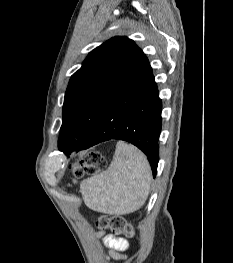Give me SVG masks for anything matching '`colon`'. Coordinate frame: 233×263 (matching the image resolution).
I'll return each instance as SVG.
<instances>
[{"instance_id":"obj_1","label":"colon","mask_w":233,"mask_h":263,"mask_svg":"<svg viewBox=\"0 0 233 263\" xmlns=\"http://www.w3.org/2000/svg\"><path fill=\"white\" fill-rule=\"evenodd\" d=\"M106 167V159L98 151L90 152L80 158L72 167L75 179L85 174H94ZM95 225L101 229H110L115 233L123 234L127 237L133 236L132 225L121 215H101L95 220Z\"/></svg>"}]
</instances>
